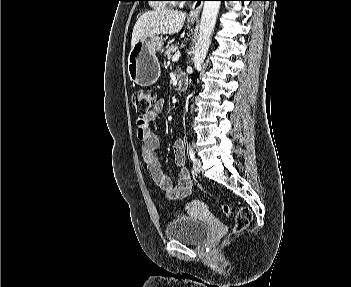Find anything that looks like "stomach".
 Returning a JSON list of instances; mask_svg holds the SVG:
<instances>
[{
    "mask_svg": "<svg viewBox=\"0 0 351 287\" xmlns=\"http://www.w3.org/2000/svg\"><path fill=\"white\" fill-rule=\"evenodd\" d=\"M164 40L162 36L151 35L136 42L128 56V74L131 81L148 87L158 80L160 65L156 52L163 51Z\"/></svg>",
    "mask_w": 351,
    "mask_h": 287,
    "instance_id": "stomach-1",
    "label": "stomach"
}]
</instances>
